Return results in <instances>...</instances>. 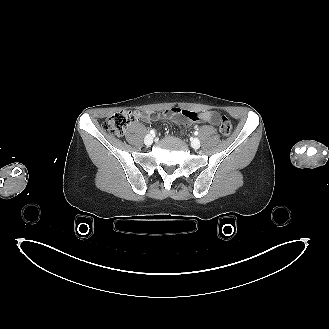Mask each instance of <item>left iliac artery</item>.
<instances>
[{
  "mask_svg": "<svg viewBox=\"0 0 329 329\" xmlns=\"http://www.w3.org/2000/svg\"><path fill=\"white\" fill-rule=\"evenodd\" d=\"M194 134H195V135H198V134H199V132H198V131H195V132H194Z\"/></svg>",
  "mask_w": 329,
  "mask_h": 329,
  "instance_id": "44dca946",
  "label": "left iliac artery"
}]
</instances>
